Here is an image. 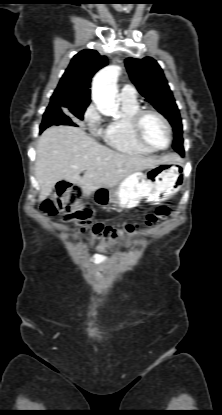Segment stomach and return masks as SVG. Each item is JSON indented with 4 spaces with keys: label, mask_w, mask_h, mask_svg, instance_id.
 <instances>
[{
    "label": "stomach",
    "mask_w": 222,
    "mask_h": 415,
    "mask_svg": "<svg viewBox=\"0 0 222 415\" xmlns=\"http://www.w3.org/2000/svg\"><path fill=\"white\" fill-rule=\"evenodd\" d=\"M183 164L169 161L149 168L146 172H135L112 188L100 187L92 193L100 206L114 205L121 209L137 207L142 199L151 204H161L182 187Z\"/></svg>",
    "instance_id": "stomach-1"
}]
</instances>
